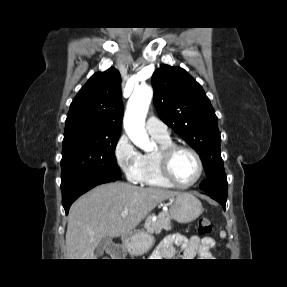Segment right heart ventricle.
<instances>
[{"label":"right heart ventricle","instance_id":"right-heart-ventricle-1","mask_svg":"<svg viewBox=\"0 0 287 287\" xmlns=\"http://www.w3.org/2000/svg\"><path fill=\"white\" fill-rule=\"evenodd\" d=\"M160 145V148L173 144L169 138L153 137ZM159 148V149H160ZM157 151L142 154L140 182L143 185L170 188L174 185L163 176L157 157Z\"/></svg>","mask_w":287,"mask_h":287}]
</instances>
